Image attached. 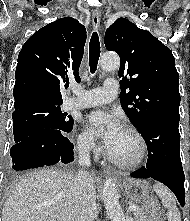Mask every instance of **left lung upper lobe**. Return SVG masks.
I'll return each mask as SVG.
<instances>
[{
  "instance_id": "obj_1",
  "label": "left lung upper lobe",
  "mask_w": 190,
  "mask_h": 221,
  "mask_svg": "<svg viewBox=\"0 0 190 221\" xmlns=\"http://www.w3.org/2000/svg\"><path fill=\"white\" fill-rule=\"evenodd\" d=\"M105 46L120 56V102L138 131L158 118L179 121V75L171 50L125 18L106 30Z\"/></svg>"
}]
</instances>
